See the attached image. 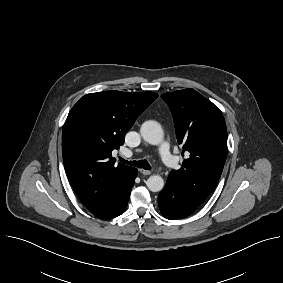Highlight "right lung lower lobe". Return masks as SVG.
<instances>
[{
  "label": "right lung lower lobe",
  "instance_id": "obj_1",
  "mask_svg": "<svg viewBox=\"0 0 283 283\" xmlns=\"http://www.w3.org/2000/svg\"><path fill=\"white\" fill-rule=\"evenodd\" d=\"M137 169L132 174V177L125 187L124 191L114 200V202L104 211H102L99 214H96V216L102 217V218H113L121 215L126 207L127 203L130 197L131 189L134 185L135 178L137 176Z\"/></svg>",
  "mask_w": 283,
  "mask_h": 283
}]
</instances>
